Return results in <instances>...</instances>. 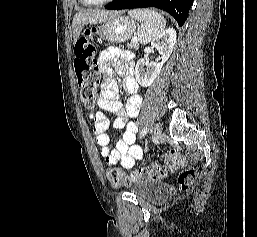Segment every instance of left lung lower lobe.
Here are the masks:
<instances>
[{
  "instance_id": "obj_1",
  "label": "left lung lower lobe",
  "mask_w": 257,
  "mask_h": 237,
  "mask_svg": "<svg viewBox=\"0 0 257 237\" xmlns=\"http://www.w3.org/2000/svg\"><path fill=\"white\" fill-rule=\"evenodd\" d=\"M194 0H116L108 3L109 10L155 7L172 15L179 26H182L188 17V12Z\"/></svg>"
}]
</instances>
